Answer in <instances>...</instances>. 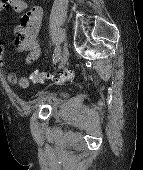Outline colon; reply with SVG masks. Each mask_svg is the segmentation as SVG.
Instances as JSON below:
<instances>
[{"instance_id": "obj_1", "label": "colon", "mask_w": 143, "mask_h": 170, "mask_svg": "<svg viewBox=\"0 0 143 170\" xmlns=\"http://www.w3.org/2000/svg\"><path fill=\"white\" fill-rule=\"evenodd\" d=\"M5 2V0H0V4ZM74 74L71 71H66L60 75L47 71H35L31 74L30 79L35 84H41L48 80H55L56 82H65L73 79ZM22 87L26 86V83L21 84Z\"/></svg>"}]
</instances>
